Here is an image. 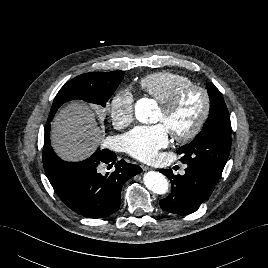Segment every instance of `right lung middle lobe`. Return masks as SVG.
Wrapping results in <instances>:
<instances>
[{
	"mask_svg": "<svg viewBox=\"0 0 268 268\" xmlns=\"http://www.w3.org/2000/svg\"><path fill=\"white\" fill-rule=\"evenodd\" d=\"M122 79H123V76L120 77L118 80L112 81L111 83L107 82L105 84V87L102 93L96 96L85 98L84 101L99 104L104 107L106 102L108 101L110 96L113 94V92L115 91V89L117 88V86L119 85ZM56 100H57V95L55 97L53 104L56 102ZM57 159L64 163V167L67 166L69 163V162L61 160L59 157H57ZM43 164H44L46 175L51 185L53 186L55 192L57 194L60 193L64 189L68 181L67 176L65 174L66 169H64V167L62 169H59L57 167L52 166V164H50L49 161L45 157L43 159Z\"/></svg>",
	"mask_w": 268,
	"mask_h": 268,
	"instance_id": "right-lung-middle-lobe-1",
	"label": "right lung middle lobe"
}]
</instances>
